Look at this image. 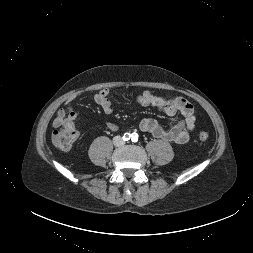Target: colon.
Masks as SVG:
<instances>
[{"label": "colon", "instance_id": "obj_1", "mask_svg": "<svg viewBox=\"0 0 253 253\" xmlns=\"http://www.w3.org/2000/svg\"><path fill=\"white\" fill-rule=\"evenodd\" d=\"M199 140L204 142L209 138V134L206 131L199 133ZM75 140L74 132L68 127H62L58 130H55L52 134L53 144L62 150L69 149Z\"/></svg>", "mask_w": 253, "mask_h": 253}]
</instances>
